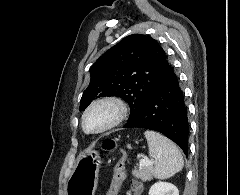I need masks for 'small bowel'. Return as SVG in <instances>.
<instances>
[{
  "mask_svg": "<svg viewBox=\"0 0 240 195\" xmlns=\"http://www.w3.org/2000/svg\"><path fill=\"white\" fill-rule=\"evenodd\" d=\"M144 186L142 182L137 179H133L130 183V189L127 190L125 195H143Z\"/></svg>",
  "mask_w": 240,
  "mask_h": 195,
  "instance_id": "1",
  "label": "small bowel"
}]
</instances>
